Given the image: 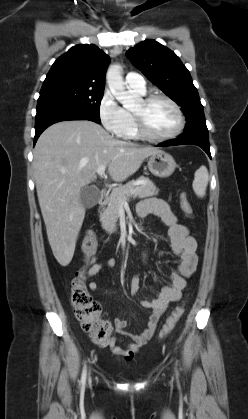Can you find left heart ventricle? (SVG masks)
Returning <instances> with one entry per match:
<instances>
[{
	"instance_id": "b2bd125f",
	"label": "left heart ventricle",
	"mask_w": 248,
	"mask_h": 419,
	"mask_svg": "<svg viewBox=\"0 0 248 419\" xmlns=\"http://www.w3.org/2000/svg\"><path fill=\"white\" fill-rule=\"evenodd\" d=\"M134 111L143 114L148 130L154 135L169 134L177 127L178 117L175 110L163 100L154 101L149 105L140 101Z\"/></svg>"
}]
</instances>
